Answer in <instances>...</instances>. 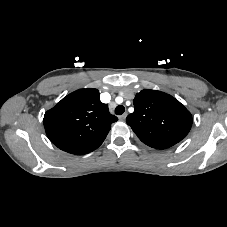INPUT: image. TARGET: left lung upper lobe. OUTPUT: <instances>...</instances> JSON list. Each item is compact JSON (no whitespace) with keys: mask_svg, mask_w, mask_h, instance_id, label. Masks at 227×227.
Listing matches in <instances>:
<instances>
[{"mask_svg":"<svg viewBox=\"0 0 227 227\" xmlns=\"http://www.w3.org/2000/svg\"><path fill=\"white\" fill-rule=\"evenodd\" d=\"M134 112L126 122L149 147L166 149L180 142L192 126L191 113L174 97L144 89L134 98Z\"/></svg>","mask_w":227,"mask_h":227,"instance_id":"1","label":"left lung upper lobe"}]
</instances>
